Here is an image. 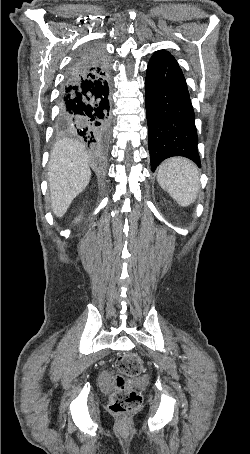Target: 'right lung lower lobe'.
I'll list each match as a JSON object with an SVG mask.
<instances>
[{
	"instance_id": "1",
	"label": "right lung lower lobe",
	"mask_w": 250,
	"mask_h": 454,
	"mask_svg": "<svg viewBox=\"0 0 250 454\" xmlns=\"http://www.w3.org/2000/svg\"><path fill=\"white\" fill-rule=\"evenodd\" d=\"M109 60L100 45L82 49L65 75L59 100V124L98 149L110 129Z\"/></svg>"
}]
</instances>
